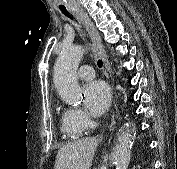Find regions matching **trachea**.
Listing matches in <instances>:
<instances>
[{
    "instance_id": "3493384b",
    "label": "trachea",
    "mask_w": 177,
    "mask_h": 169,
    "mask_svg": "<svg viewBox=\"0 0 177 169\" xmlns=\"http://www.w3.org/2000/svg\"><path fill=\"white\" fill-rule=\"evenodd\" d=\"M60 10H61L62 13H64L65 15L69 16L68 11L66 10L65 7H60ZM97 65H98L99 68H101V67H102V61H101V60H98V61H97Z\"/></svg>"
}]
</instances>
